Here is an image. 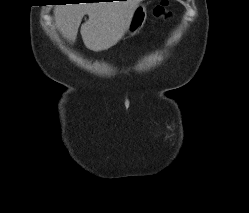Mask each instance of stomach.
<instances>
[{
  "label": "stomach",
  "mask_w": 249,
  "mask_h": 213,
  "mask_svg": "<svg viewBox=\"0 0 249 213\" xmlns=\"http://www.w3.org/2000/svg\"><path fill=\"white\" fill-rule=\"evenodd\" d=\"M147 18L146 5L138 4L130 19L126 33L133 36L137 34L143 27Z\"/></svg>",
  "instance_id": "1"
}]
</instances>
